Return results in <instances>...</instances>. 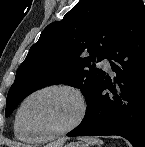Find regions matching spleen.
Masks as SVG:
<instances>
[{
  "label": "spleen",
  "mask_w": 145,
  "mask_h": 147,
  "mask_svg": "<svg viewBox=\"0 0 145 147\" xmlns=\"http://www.w3.org/2000/svg\"><path fill=\"white\" fill-rule=\"evenodd\" d=\"M83 140L85 142H87L88 144L90 145H95V144H98V146L100 147V145L102 144V141L97 139V138H90V137H86V138H83Z\"/></svg>",
  "instance_id": "3e777b00"
}]
</instances>
